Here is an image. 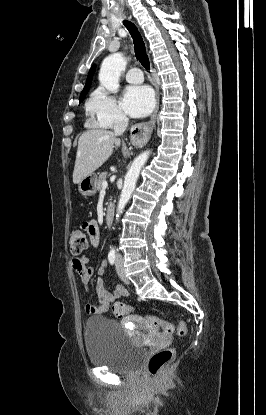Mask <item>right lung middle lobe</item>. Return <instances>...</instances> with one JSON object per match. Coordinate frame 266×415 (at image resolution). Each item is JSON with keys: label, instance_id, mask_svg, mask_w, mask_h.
<instances>
[{"label": "right lung middle lobe", "instance_id": "right-lung-middle-lobe-1", "mask_svg": "<svg viewBox=\"0 0 266 415\" xmlns=\"http://www.w3.org/2000/svg\"><path fill=\"white\" fill-rule=\"evenodd\" d=\"M84 97H85V96L80 97V100H79V101L81 102V101L83 100V98H84Z\"/></svg>", "mask_w": 266, "mask_h": 415}]
</instances>
